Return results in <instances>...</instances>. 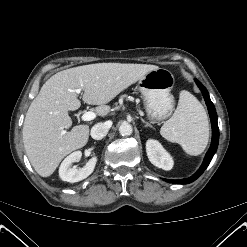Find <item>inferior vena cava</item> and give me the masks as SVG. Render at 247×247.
<instances>
[{"label":"inferior vena cava","instance_id":"inferior-vena-cava-1","mask_svg":"<svg viewBox=\"0 0 247 247\" xmlns=\"http://www.w3.org/2000/svg\"><path fill=\"white\" fill-rule=\"evenodd\" d=\"M110 126L107 122L95 124L91 128V137L95 140H101L107 135Z\"/></svg>","mask_w":247,"mask_h":247}]
</instances>
